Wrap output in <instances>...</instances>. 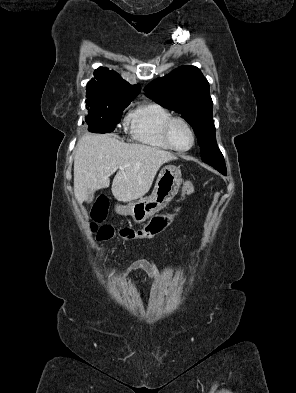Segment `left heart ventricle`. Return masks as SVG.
Wrapping results in <instances>:
<instances>
[{
  "label": "left heart ventricle",
  "instance_id": "left-heart-ventricle-1",
  "mask_svg": "<svg viewBox=\"0 0 296 393\" xmlns=\"http://www.w3.org/2000/svg\"><path fill=\"white\" fill-rule=\"evenodd\" d=\"M171 139L181 149L188 148L192 142V136L187 126L182 122H175L171 128Z\"/></svg>",
  "mask_w": 296,
  "mask_h": 393
}]
</instances>
